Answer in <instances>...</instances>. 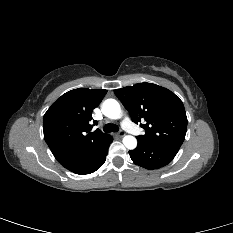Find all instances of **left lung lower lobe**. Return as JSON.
<instances>
[{
	"label": "left lung lower lobe",
	"instance_id": "left-lung-lower-lobe-1",
	"mask_svg": "<svg viewBox=\"0 0 233 233\" xmlns=\"http://www.w3.org/2000/svg\"><path fill=\"white\" fill-rule=\"evenodd\" d=\"M181 145L152 144L138 140L137 148L129 151L132 161L146 169H158L172 161Z\"/></svg>",
	"mask_w": 233,
	"mask_h": 233
}]
</instances>
